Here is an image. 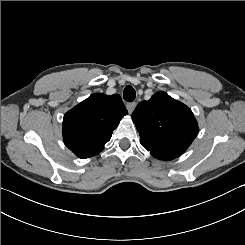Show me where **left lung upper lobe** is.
Returning <instances> with one entry per match:
<instances>
[{
  "mask_svg": "<svg viewBox=\"0 0 245 245\" xmlns=\"http://www.w3.org/2000/svg\"><path fill=\"white\" fill-rule=\"evenodd\" d=\"M132 120L142 146L160 160L182 155L198 134L192 111L163 91L139 103Z\"/></svg>",
  "mask_w": 245,
  "mask_h": 245,
  "instance_id": "1",
  "label": "left lung upper lobe"
}]
</instances>
